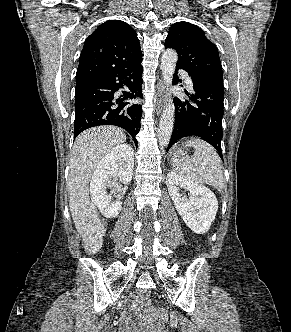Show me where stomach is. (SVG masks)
Masks as SVG:
<instances>
[{
	"label": "stomach",
	"instance_id": "obj_1",
	"mask_svg": "<svg viewBox=\"0 0 291 332\" xmlns=\"http://www.w3.org/2000/svg\"><path fill=\"white\" fill-rule=\"evenodd\" d=\"M177 158V159H185L188 158L187 151L185 150L184 146H176L173 149L172 152V159Z\"/></svg>",
	"mask_w": 291,
	"mask_h": 332
}]
</instances>
